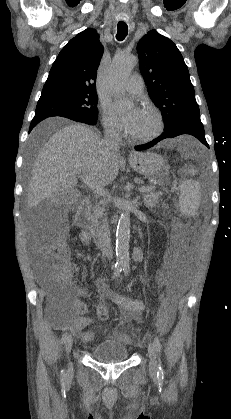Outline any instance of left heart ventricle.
<instances>
[{"label": "left heart ventricle", "instance_id": "1", "mask_svg": "<svg viewBox=\"0 0 231 419\" xmlns=\"http://www.w3.org/2000/svg\"><path fill=\"white\" fill-rule=\"evenodd\" d=\"M155 128H156L155 118L153 117L151 113L144 110L132 134L136 136L147 135L153 132Z\"/></svg>", "mask_w": 231, "mask_h": 419}]
</instances>
